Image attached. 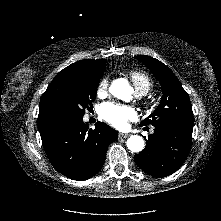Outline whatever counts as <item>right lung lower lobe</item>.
<instances>
[{
	"label": "right lung lower lobe",
	"mask_w": 221,
	"mask_h": 221,
	"mask_svg": "<svg viewBox=\"0 0 221 221\" xmlns=\"http://www.w3.org/2000/svg\"><path fill=\"white\" fill-rule=\"evenodd\" d=\"M40 135L52 166L70 179L83 181L102 168L107 148L118 132L102 122L89 129L80 117L46 128Z\"/></svg>",
	"instance_id": "right-lung-lower-lobe-1"
}]
</instances>
